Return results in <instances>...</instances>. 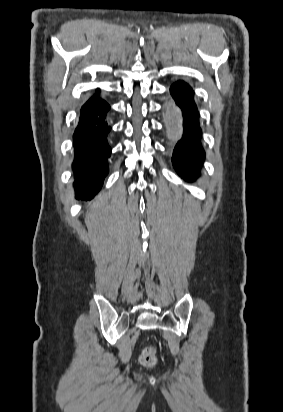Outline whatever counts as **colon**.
I'll list each match as a JSON object with an SVG mask.
<instances>
[{"mask_svg":"<svg viewBox=\"0 0 283 412\" xmlns=\"http://www.w3.org/2000/svg\"><path fill=\"white\" fill-rule=\"evenodd\" d=\"M157 361L156 350L153 347L145 348L140 355V363L143 366L151 367Z\"/></svg>","mask_w":283,"mask_h":412,"instance_id":"5ec220e1","label":"colon"}]
</instances>
